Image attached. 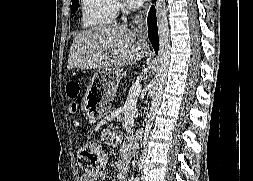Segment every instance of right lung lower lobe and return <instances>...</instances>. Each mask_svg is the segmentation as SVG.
I'll list each match as a JSON object with an SVG mask.
<instances>
[{
    "mask_svg": "<svg viewBox=\"0 0 253 181\" xmlns=\"http://www.w3.org/2000/svg\"><path fill=\"white\" fill-rule=\"evenodd\" d=\"M148 37L152 43L155 52H158V31L156 24V13L155 8L152 7L148 16Z\"/></svg>",
    "mask_w": 253,
    "mask_h": 181,
    "instance_id": "98d812e1",
    "label": "right lung lower lobe"
}]
</instances>
